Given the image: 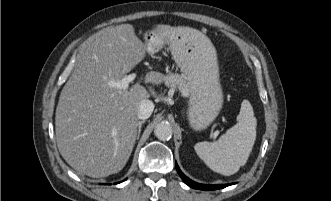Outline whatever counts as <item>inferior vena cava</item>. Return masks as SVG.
Masks as SVG:
<instances>
[{
	"instance_id": "inferior-vena-cava-1",
	"label": "inferior vena cava",
	"mask_w": 331,
	"mask_h": 201,
	"mask_svg": "<svg viewBox=\"0 0 331 201\" xmlns=\"http://www.w3.org/2000/svg\"><path fill=\"white\" fill-rule=\"evenodd\" d=\"M154 110V104L152 101L146 99L141 102L138 108V118L141 120L148 119Z\"/></svg>"
}]
</instances>
